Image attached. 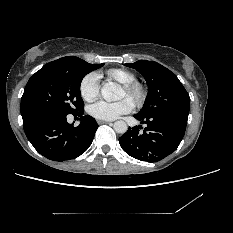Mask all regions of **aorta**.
I'll list each match as a JSON object with an SVG mask.
<instances>
[{
	"label": "aorta",
	"instance_id": "aorta-1",
	"mask_svg": "<svg viewBox=\"0 0 233 233\" xmlns=\"http://www.w3.org/2000/svg\"><path fill=\"white\" fill-rule=\"evenodd\" d=\"M101 95L108 102L117 101L122 98L123 91L120 86L110 82L103 84L101 88ZM114 130L117 133L124 134L127 132L128 127L124 121L120 120L114 123Z\"/></svg>",
	"mask_w": 233,
	"mask_h": 233
}]
</instances>
